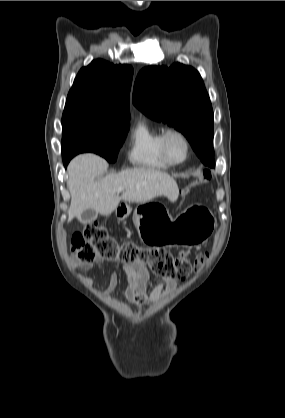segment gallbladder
I'll use <instances>...</instances> for the list:
<instances>
[{
	"instance_id": "1",
	"label": "gallbladder",
	"mask_w": 285,
	"mask_h": 418,
	"mask_svg": "<svg viewBox=\"0 0 285 418\" xmlns=\"http://www.w3.org/2000/svg\"><path fill=\"white\" fill-rule=\"evenodd\" d=\"M97 215L98 212L94 209H87L83 211L79 220L82 224L90 223L97 218Z\"/></svg>"
}]
</instances>
